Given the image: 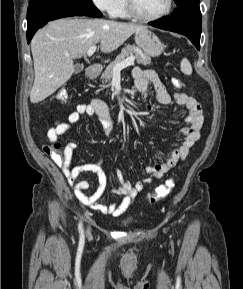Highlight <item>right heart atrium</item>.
<instances>
[{
  "label": "right heart atrium",
  "mask_w": 243,
  "mask_h": 289,
  "mask_svg": "<svg viewBox=\"0 0 243 289\" xmlns=\"http://www.w3.org/2000/svg\"><path fill=\"white\" fill-rule=\"evenodd\" d=\"M122 0H92L93 4L101 11L114 16Z\"/></svg>",
  "instance_id": "right-heart-atrium-1"
}]
</instances>
